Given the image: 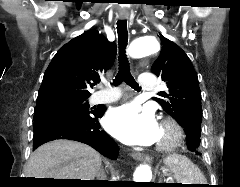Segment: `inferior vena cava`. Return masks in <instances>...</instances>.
<instances>
[{
	"mask_svg": "<svg viewBox=\"0 0 240 187\" xmlns=\"http://www.w3.org/2000/svg\"><path fill=\"white\" fill-rule=\"evenodd\" d=\"M97 179L98 180H104L105 179V175H104V172L103 170H100L97 174Z\"/></svg>",
	"mask_w": 240,
	"mask_h": 187,
	"instance_id": "602c4592",
	"label": "inferior vena cava"
}]
</instances>
